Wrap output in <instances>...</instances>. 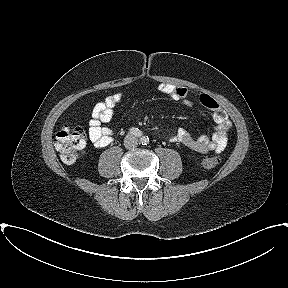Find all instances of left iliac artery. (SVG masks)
<instances>
[{
    "instance_id": "obj_1",
    "label": "left iliac artery",
    "mask_w": 288,
    "mask_h": 288,
    "mask_svg": "<svg viewBox=\"0 0 288 288\" xmlns=\"http://www.w3.org/2000/svg\"><path fill=\"white\" fill-rule=\"evenodd\" d=\"M148 140H149L148 137H145V136L141 138V142H142V144H144V145H146V143L148 142Z\"/></svg>"
}]
</instances>
